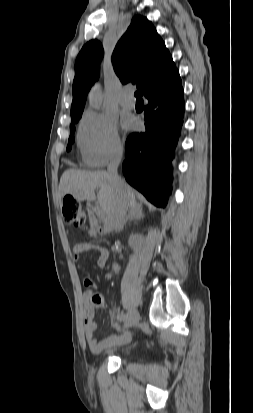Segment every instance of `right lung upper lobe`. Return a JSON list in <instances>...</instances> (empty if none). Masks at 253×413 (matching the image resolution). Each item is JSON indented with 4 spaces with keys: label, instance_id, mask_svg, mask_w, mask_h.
<instances>
[{
    "label": "right lung upper lobe",
    "instance_id": "right-lung-upper-lobe-1",
    "mask_svg": "<svg viewBox=\"0 0 253 413\" xmlns=\"http://www.w3.org/2000/svg\"><path fill=\"white\" fill-rule=\"evenodd\" d=\"M103 48L99 41L87 42L75 62L71 120L82 116L87 93L99 77ZM114 71L123 84L132 82L145 97L155 89H171L181 83L179 72L161 37L147 18L133 17L113 54Z\"/></svg>",
    "mask_w": 253,
    "mask_h": 413
}]
</instances>
